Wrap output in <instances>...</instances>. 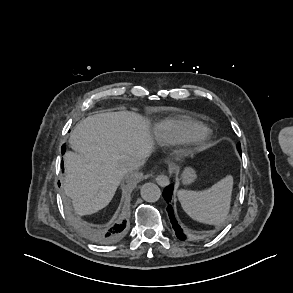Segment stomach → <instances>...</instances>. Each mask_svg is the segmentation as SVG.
I'll list each match as a JSON object with an SVG mask.
<instances>
[{
  "instance_id": "stomach-1",
  "label": "stomach",
  "mask_w": 293,
  "mask_h": 293,
  "mask_svg": "<svg viewBox=\"0 0 293 293\" xmlns=\"http://www.w3.org/2000/svg\"><path fill=\"white\" fill-rule=\"evenodd\" d=\"M197 179L196 171L192 167H187L181 174L182 183L188 185Z\"/></svg>"
}]
</instances>
